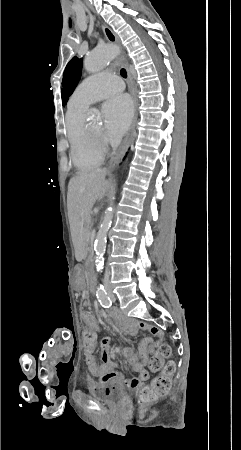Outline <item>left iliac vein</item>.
Returning a JSON list of instances; mask_svg holds the SVG:
<instances>
[{
	"instance_id": "left-iliac-vein-1",
	"label": "left iliac vein",
	"mask_w": 241,
	"mask_h": 450,
	"mask_svg": "<svg viewBox=\"0 0 241 450\" xmlns=\"http://www.w3.org/2000/svg\"><path fill=\"white\" fill-rule=\"evenodd\" d=\"M110 297H111L112 301L116 300V297L114 295H110Z\"/></svg>"
}]
</instances>
